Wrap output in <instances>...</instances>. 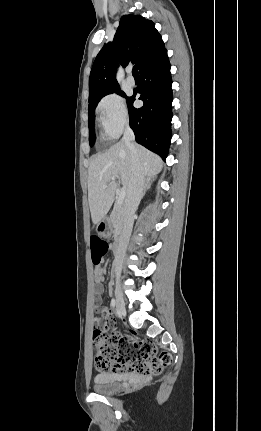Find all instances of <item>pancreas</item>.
Returning <instances> with one entry per match:
<instances>
[{
  "label": "pancreas",
  "instance_id": "pancreas-1",
  "mask_svg": "<svg viewBox=\"0 0 261 431\" xmlns=\"http://www.w3.org/2000/svg\"><path fill=\"white\" fill-rule=\"evenodd\" d=\"M110 220L113 224V227L115 229V233H119L122 225H123V206L122 204H115L113 211L110 215Z\"/></svg>",
  "mask_w": 261,
  "mask_h": 431
}]
</instances>
